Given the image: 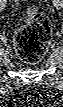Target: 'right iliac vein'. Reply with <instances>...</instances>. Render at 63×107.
Masks as SVG:
<instances>
[{
	"mask_svg": "<svg viewBox=\"0 0 63 107\" xmlns=\"http://www.w3.org/2000/svg\"><path fill=\"white\" fill-rule=\"evenodd\" d=\"M5 7H6V0H2V1L0 2V9H1V10H4Z\"/></svg>",
	"mask_w": 63,
	"mask_h": 107,
	"instance_id": "obj_1",
	"label": "right iliac vein"
}]
</instances>
